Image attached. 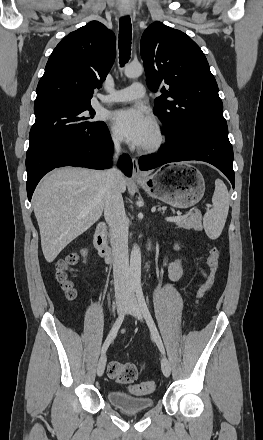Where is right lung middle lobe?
Listing matches in <instances>:
<instances>
[{
	"label": "right lung middle lobe",
	"instance_id": "obj_1",
	"mask_svg": "<svg viewBox=\"0 0 263 440\" xmlns=\"http://www.w3.org/2000/svg\"><path fill=\"white\" fill-rule=\"evenodd\" d=\"M36 120L29 134L26 157L62 138L95 134L106 127L102 121H93L95 111L91 104L58 103L34 108Z\"/></svg>",
	"mask_w": 263,
	"mask_h": 440
}]
</instances>
